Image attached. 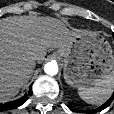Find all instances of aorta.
<instances>
[{
	"label": "aorta",
	"instance_id": "aorta-1",
	"mask_svg": "<svg viewBox=\"0 0 114 114\" xmlns=\"http://www.w3.org/2000/svg\"><path fill=\"white\" fill-rule=\"evenodd\" d=\"M45 73L49 75H55L58 73V65L55 61H51L45 64L44 66Z\"/></svg>",
	"mask_w": 114,
	"mask_h": 114
}]
</instances>
